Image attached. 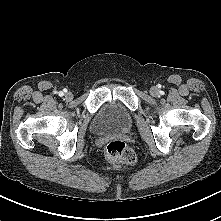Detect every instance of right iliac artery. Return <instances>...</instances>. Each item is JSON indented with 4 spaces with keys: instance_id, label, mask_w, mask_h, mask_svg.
<instances>
[{
    "instance_id": "82829eb1",
    "label": "right iliac artery",
    "mask_w": 221,
    "mask_h": 221,
    "mask_svg": "<svg viewBox=\"0 0 221 221\" xmlns=\"http://www.w3.org/2000/svg\"><path fill=\"white\" fill-rule=\"evenodd\" d=\"M64 95V93L63 92H59V96H63Z\"/></svg>"
}]
</instances>
